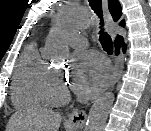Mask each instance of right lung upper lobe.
<instances>
[{
  "instance_id": "obj_1",
  "label": "right lung upper lobe",
  "mask_w": 151,
  "mask_h": 131,
  "mask_svg": "<svg viewBox=\"0 0 151 131\" xmlns=\"http://www.w3.org/2000/svg\"><path fill=\"white\" fill-rule=\"evenodd\" d=\"M109 10L111 12V15L114 19V21H117L121 17V7L117 0H109ZM121 26H124V21L120 22ZM122 38L121 36H118L117 39Z\"/></svg>"
}]
</instances>
